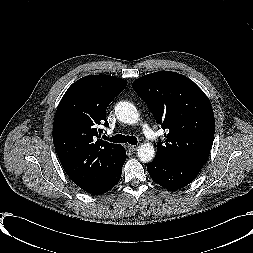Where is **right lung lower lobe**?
<instances>
[{
  "label": "right lung lower lobe",
  "instance_id": "98d812e1",
  "mask_svg": "<svg viewBox=\"0 0 253 253\" xmlns=\"http://www.w3.org/2000/svg\"><path fill=\"white\" fill-rule=\"evenodd\" d=\"M125 160H126V152L124 149L123 160H122V163H121L119 169L99 189L92 192V194L99 195V194L106 193L107 191H109L111 188H113L119 182L120 177H121V173H122L121 168H122Z\"/></svg>",
  "mask_w": 253,
  "mask_h": 253
}]
</instances>
